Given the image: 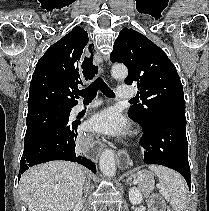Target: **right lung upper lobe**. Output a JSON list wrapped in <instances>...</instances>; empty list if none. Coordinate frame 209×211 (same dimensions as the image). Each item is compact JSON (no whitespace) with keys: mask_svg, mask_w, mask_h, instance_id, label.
<instances>
[{"mask_svg":"<svg viewBox=\"0 0 209 211\" xmlns=\"http://www.w3.org/2000/svg\"><path fill=\"white\" fill-rule=\"evenodd\" d=\"M87 32L77 26L49 47L38 61L28 99V112L44 108H72L78 85L97 74L92 56H84Z\"/></svg>","mask_w":209,"mask_h":211,"instance_id":"obj_1","label":"right lung upper lobe"}]
</instances>
